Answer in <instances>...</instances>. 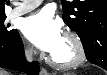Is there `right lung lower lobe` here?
I'll return each mask as SVG.
<instances>
[{
	"label": "right lung lower lobe",
	"instance_id": "98d812e1",
	"mask_svg": "<svg viewBox=\"0 0 107 75\" xmlns=\"http://www.w3.org/2000/svg\"><path fill=\"white\" fill-rule=\"evenodd\" d=\"M0 67L25 71L29 75L39 74V63H27L21 37L17 33L8 40L0 41Z\"/></svg>",
	"mask_w": 107,
	"mask_h": 75
}]
</instances>
